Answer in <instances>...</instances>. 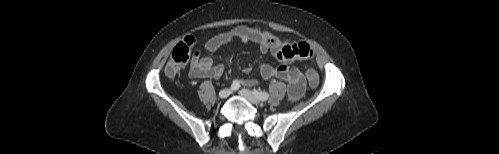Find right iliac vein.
<instances>
[{
	"mask_svg": "<svg viewBox=\"0 0 499 154\" xmlns=\"http://www.w3.org/2000/svg\"><path fill=\"white\" fill-rule=\"evenodd\" d=\"M231 94V90L230 89H223L219 92V97L222 98V99H225L227 98L229 95Z\"/></svg>",
	"mask_w": 499,
	"mask_h": 154,
	"instance_id": "63e3f726",
	"label": "right iliac vein"
}]
</instances>
